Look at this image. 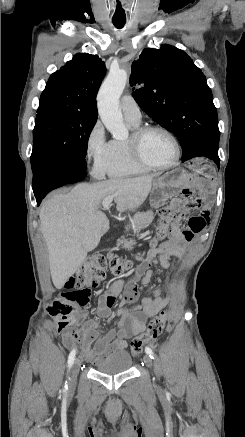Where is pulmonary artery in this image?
I'll return each instance as SVG.
<instances>
[{
    "label": "pulmonary artery",
    "instance_id": "e3ab8cb5",
    "mask_svg": "<svg viewBox=\"0 0 245 437\" xmlns=\"http://www.w3.org/2000/svg\"><path fill=\"white\" fill-rule=\"evenodd\" d=\"M120 107L126 120L139 123L141 120V112L138 104L130 95L122 97Z\"/></svg>",
    "mask_w": 245,
    "mask_h": 437
}]
</instances>
